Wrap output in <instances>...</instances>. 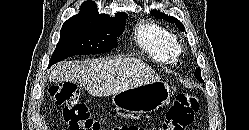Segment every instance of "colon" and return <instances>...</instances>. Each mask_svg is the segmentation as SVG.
Here are the masks:
<instances>
[{"mask_svg":"<svg viewBox=\"0 0 249 130\" xmlns=\"http://www.w3.org/2000/svg\"><path fill=\"white\" fill-rule=\"evenodd\" d=\"M49 94L54 103L62 109L63 119L70 130H185L193 122L200 107L197 97L182 92L176 96L164 120L157 126L144 128L125 124L109 128L91 116L74 83L53 85L49 89Z\"/></svg>","mask_w":249,"mask_h":130,"instance_id":"1","label":"colon"}]
</instances>
